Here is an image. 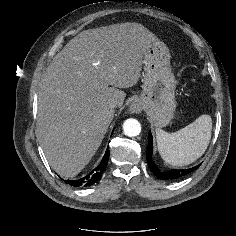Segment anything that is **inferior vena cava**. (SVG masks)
<instances>
[{"mask_svg": "<svg viewBox=\"0 0 236 236\" xmlns=\"http://www.w3.org/2000/svg\"><path fill=\"white\" fill-rule=\"evenodd\" d=\"M109 107H110L111 109H113L114 107H116V105H115L114 103H111V104H109Z\"/></svg>", "mask_w": 236, "mask_h": 236, "instance_id": "1", "label": "inferior vena cava"}]
</instances>
